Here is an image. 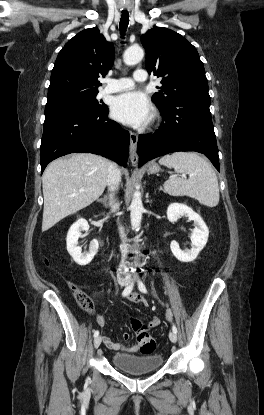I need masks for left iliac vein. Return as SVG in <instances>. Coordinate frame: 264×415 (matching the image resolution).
<instances>
[{"label": "left iliac vein", "mask_w": 264, "mask_h": 415, "mask_svg": "<svg viewBox=\"0 0 264 415\" xmlns=\"http://www.w3.org/2000/svg\"><path fill=\"white\" fill-rule=\"evenodd\" d=\"M169 339L171 340V342L176 343L177 342V335L175 332L171 331L169 333Z\"/></svg>", "instance_id": "obj_1"}]
</instances>
